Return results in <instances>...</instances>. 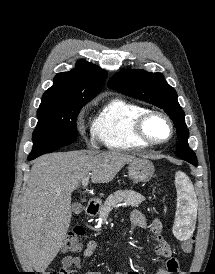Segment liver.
Here are the masks:
<instances>
[{
  "mask_svg": "<svg viewBox=\"0 0 215 274\" xmlns=\"http://www.w3.org/2000/svg\"><path fill=\"white\" fill-rule=\"evenodd\" d=\"M133 158L116 151H71L35 161L15 217L16 244L34 270L44 272L63 244L72 217V191L90 175L93 183L110 182Z\"/></svg>",
  "mask_w": 215,
  "mask_h": 274,
  "instance_id": "liver-1",
  "label": "liver"
}]
</instances>
